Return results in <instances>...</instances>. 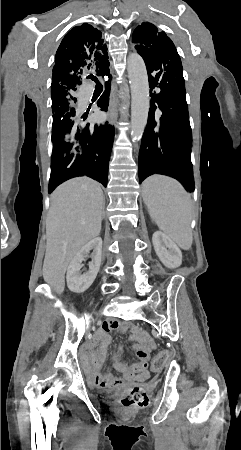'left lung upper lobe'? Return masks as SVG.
<instances>
[{
	"label": "left lung upper lobe",
	"mask_w": 241,
	"mask_h": 450,
	"mask_svg": "<svg viewBox=\"0 0 241 450\" xmlns=\"http://www.w3.org/2000/svg\"><path fill=\"white\" fill-rule=\"evenodd\" d=\"M135 49L143 59L151 60L159 57L167 48L170 38L151 23H142L138 26L132 37Z\"/></svg>",
	"instance_id": "5c2ea615"
}]
</instances>
